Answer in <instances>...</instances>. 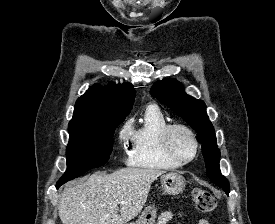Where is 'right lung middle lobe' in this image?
I'll return each instance as SVG.
<instances>
[{"label": "right lung middle lobe", "mask_w": 275, "mask_h": 224, "mask_svg": "<svg viewBox=\"0 0 275 224\" xmlns=\"http://www.w3.org/2000/svg\"><path fill=\"white\" fill-rule=\"evenodd\" d=\"M121 121L69 126L67 170L57 184L62 185L106 163L113 148L114 130Z\"/></svg>", "instance_id": "1"}]
</instances>
